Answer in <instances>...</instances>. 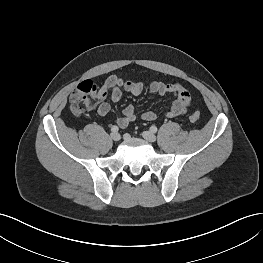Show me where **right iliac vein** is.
<instances>
[{"instance_id":"1","label":"right iliac vein","mask_w":263,"mask_h":263,"mask_svg":"<svg viewBox=\"0 0 263 263\" xmlns=\"http://www.w3.org/2000/svg\"><path fill=\"white\" fill-rule=\"evenodd\" d=\"M110 137H111V139L114 140V141H119L120 138H121L120 134L117 133V132L111 133V134H110Z\"/></svg>"}]
</instances>
